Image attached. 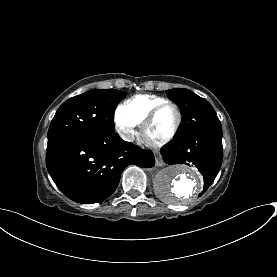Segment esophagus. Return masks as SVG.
I'll list each match as a JSON object with an SVG mask.
<instances>
[{"label": "esophagus", "mask_w": 277, "mask_h": 277, "mask_svg": "<svg viewBox=\"0 0 277 277\" xmlns=\"http://www.w3.org/2000/svg\"><path fill=\"white\" fill-rule=\"evenodd\" d=\"M156 165L157 166H164V162L162 161V159L161 158H157V160H156Z\"/></svg>", "instance_id": "1"}]
</instances>
